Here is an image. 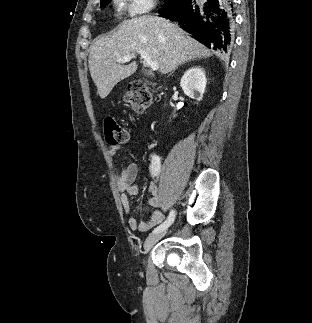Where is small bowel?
<instances>
[{
	"label": "small bowel",
	"instance_id": "1",
	"mask_svg": "<svg viewBox=\"0 0 312 323\" xmlns=\"http://www.w3.org/2000/svg\"><path fill=\"white\" fill-rule=\"evenodd\" d=\"M109 153L111 156L116 155V149L111 148ZM136 176L137 166L133 163L128 164L122 168L121 172L117 176L116 184L118 189L122 192L121 205L124 211L130 215L128 220L130 228L135 231L144 232L159 225L164 219V214L160 208L161 205L158 197V188L156 184L150 183L148 186V203L157 209L145 221H140L136 216L131 215L132 208L129 197H135L139 194V189L135 185Z\"/></svg>",
	"mask_w": 312,
	"mask_h": 323
}]
</instances>
